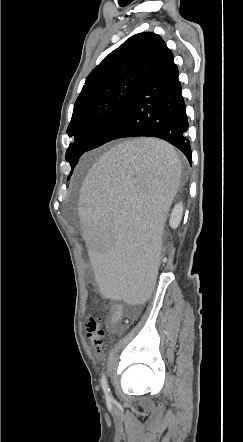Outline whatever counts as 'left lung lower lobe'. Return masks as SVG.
<instances>
[{"label": "left lung lower lobe", "instance_id": "left-lung-lower-lobe-1", "mask_svg": "<svg viewBox=\"0 0 243 442\" xmlns=\"http://www.w3.org/2000/svg\"><path fill=\"white\" fill-rule=\"evenodd\" d=\"M178 76L172 52L166 48L92 149L119 138L156 137L181 150L191 164L186 105Z\"/></svg>", "mask_w": 243, "mask_h": 442}]
</instances>
